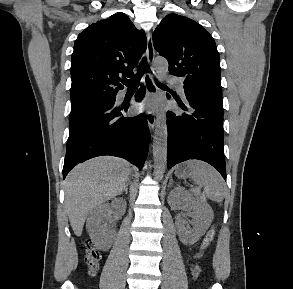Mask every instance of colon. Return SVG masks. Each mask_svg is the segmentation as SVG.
I'll list each match as a JSON object with an SVG mask.
<instances>
[{
  "label": "colon",
  "mask_w": 293,
  "mask_h": 289,
  "mask_svg": "<svg viewBox=\"0 0 293 289\" xmlns=\"http://www.w3.org/2000/svg\"><path fill=\"white\" fill-rule=\"evenodd\" d=\"M215 236V228L212 227L204 236L201 250H205L213 241ZM101 255L100 252L90 243L86 244V252H85V262L91 274H94L99 266ZM192 273L195 277H197L201 268L197 262H194L191 266Z\"/></svg>",
  "instance_id": "colon-1"
}]
</instances>
